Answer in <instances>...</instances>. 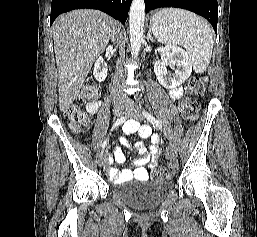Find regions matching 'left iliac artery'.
Here are the masks:
<instances>
[{"mask_svg":"<svg viewBox=\"0 0 257 237\" xmlns=\"http://www.w3.org/2000/svg\"><path fill=\"white\" fill-rule=\"evenodd\" d=\"M143 115L146 117L148 121H150L154 128L156 127L159 128L161 131L163 130L162 124L154 116H152L145 110H143Z\"/></svg>","mask_w":257,"mask_h":237,"instance_id":"left-iliac-artery-1","label":"left iliac artery"}]
</instances>
